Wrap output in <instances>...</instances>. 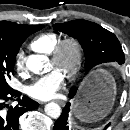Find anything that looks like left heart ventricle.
Instances as JSON below:
<instances>
[{
	"mask_svg": "<svg viewBox=\"0 0 130 130\" xmlns=\"http://www.w3.org/2000/svg\"><path fill=\"white\" fill-rule=\"evenodd\" d=\"M72 58H73V53H72V51L69 49V50H67L66 53H65L63 65H62L60 68H57V69H58L60 72L63 73L64 67H67V66H69V65L71 64ZM51 64H52V66H54L53 63H51Z\"/></svg>",
	"mask_w": 130,
	"mask_h": 130,
	"instance_id": "b2bd125f",
	"label": "left heart ventricle"
}]
</instances>
